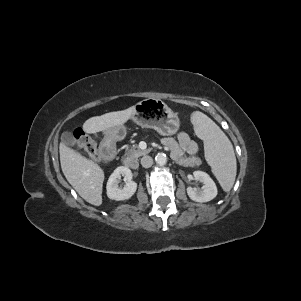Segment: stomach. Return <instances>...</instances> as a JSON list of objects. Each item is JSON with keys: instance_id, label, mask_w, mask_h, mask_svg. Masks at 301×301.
I'll return each instance as SVG.
<instances>
[{"instance_id": "0dacf381", "label": "stomach", "mask_w": 301, "mask_h": 301, "mask_svg": "<svg viewBox=\"0 0 301 301\" xmlns=\"http://www.w3.org/2000/svg\"><path fill=\"white\" fill-rule=\"evenodd\" d=\"M135 113L132 120L138 125L152 128L159 134L171 136L178 132L180 119L164 102L158 99H145L133 106ZM124 135L123 128H115L106 131V140L115 141Z\"/></svg>"}]
</instances>
